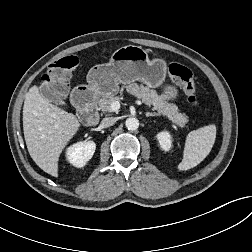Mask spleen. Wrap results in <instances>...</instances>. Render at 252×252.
<instances>
[{
    "label": "spleen",
    "mask_w": 252,
    "mask_h": 252,
    "mask_svg": "<svg viewBox=\"0 0 252 252\" xmlns=\"http://www.w3.org/2000/svg\"><path fill=\"white\" fill-rule=\"evenodd\" d=\"M216 139L214 124L191 131L185 141L183 159L178 170L185 171L197 166L210 153Z\"/></svg>",
    "instance_id": "spleen-1"
}]
</instances>
